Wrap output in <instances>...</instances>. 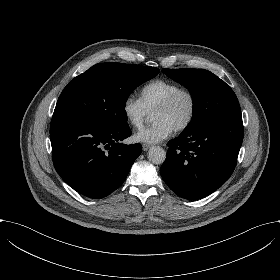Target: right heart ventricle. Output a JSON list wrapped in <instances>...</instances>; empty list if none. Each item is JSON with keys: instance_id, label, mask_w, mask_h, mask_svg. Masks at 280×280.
<instances>
[{"instance_id": "obj_1", "label": "right heart ventricle", "mask_w": 280, "mask_h": 280, "mask_svg": "<svg viewBox=\"0 0 280 280\" xmlns=\"http://www.w3.org/2000/svg\"><path fill=\"white\" fill-rule=\"evenodd\" d=\"M181 86L166 79H154L146 83L139 91V100L148 112L155 110L158 104L167 99Z\"/></svg>"}]
</instances>
